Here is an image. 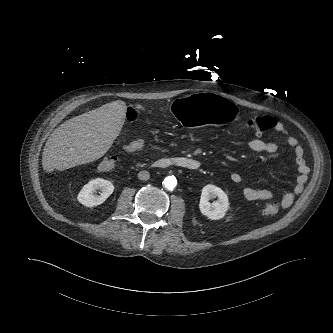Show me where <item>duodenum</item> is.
<instances>
[{"label": "duodenum", "mask_w": 333, "mask_h": 333, "mask_svg": "<svg viewBox=\"0 0 333 333\" xmlns=\"http://www.w3.org/2000/svg\"><path fill=\"white\" fill-rule=\"evenodd\" d=\"M153 166L156 168L176 167L190 171H196L200 168L201 164L197 159L190 157H172L158 159L154 161Z\"/></svg>", "instance_id": "duodenum-1"}]
</instances>
